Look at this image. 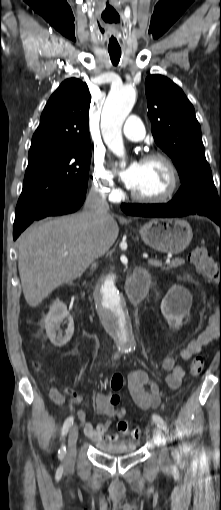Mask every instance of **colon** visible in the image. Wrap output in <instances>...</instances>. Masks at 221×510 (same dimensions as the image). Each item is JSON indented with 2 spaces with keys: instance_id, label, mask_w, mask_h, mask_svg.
<instances>
[{
  "instance_id": "colon-1",
  "label": "colon",
  "mask_w": 221,
  "mask_h": 510,
  "mask_svg": "<svg viewBox=\"0 0 221 510\" xmlns=\"http://www.w3.org/2000/svg\"><path fill=\"white\" fill-rule=\"evenodd\" d=\"M190 260L196 267V269L210 282L215 284L219 290L221 295V261L218 263L212 257L208 254L207 250L203 247H197L195 248L191 254H190ZM220 311H221V297H220ZM34 366L37 369L41 368L40 362L36 361L34 363ZM204 368V359L202 357L195 358L191 365H190V375L192 377H198ZM124 385V378L122 374L120 373H114L110 380V386L113 391L118 392L122 389ZM51 399L57 403L61 404L64 401L63 394L57 390L53 389L51 391ZM71 401L73 403H79V397L78 395H74L73 397H70ZM120 400V397L115 394L112 396L111 401L114 404H117ZM126 415L125 409H118L115 414V418L118 420V424L120 429L128 430V423L126 420H124V417ZM118 427V425H117ZM131 435L134 438H139L142 434V430L138 427L133 428L130 430ZM110 436H106L105 438L108 439Z\"/></svg>"
}]
</instances>
